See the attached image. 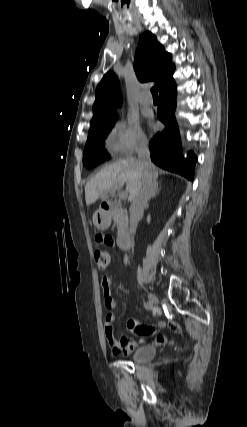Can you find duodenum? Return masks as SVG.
Listing matches in <instances>:
<instances>
[{
  "instance_id": "410a0bca",
  "label": "duodenum",
  "mask_w": 247,
  "mask_h": 427,
  "mask_svg": "<svg viewBox=\"0 0 247 427\" xmlns=\"http://www.w3.org/2000/svg\"><path fill=\"white\" fill-rule=\"evenodd\" d=\"M103 209L108 210L109 205L104 204ZM117 244L121 250H128L130 248V245H131L130 238L128 237V235L122 234L118 237Z\"/></svg>"
}]
</instances>
